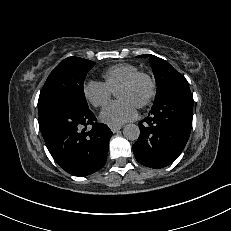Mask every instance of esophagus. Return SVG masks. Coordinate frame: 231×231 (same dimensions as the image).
<instances>
[{"label":"esophagus","instance_id":"obj_1","mask_svg":"<svg viewBox=\"0 0 231 231\" xmlns=\"http://www.w3.org/2000/svg\"><path fill=\"white\" fill-rule=\"evenodd\" d=\"M122 128V126H112L110 129L113 133L118 132L120 129Z\"/></svg>","mask_w":231,"mask_h":231}]
</instances>
